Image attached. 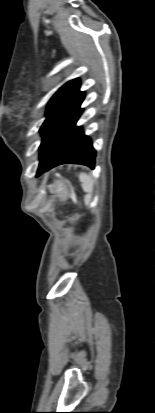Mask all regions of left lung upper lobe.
I'll use <instances>...</instances> for the list:
<instances>
[{
	"label": "left lung upper lobe",
	"mask_w": 155,
	"mask_h": 413,
	"mask_svg": "<svg viewBox=\"0 0 155 413\" xmlns=\"http://www.w3.org/2000/svg\"><path fill=\"white\" fill-rule=\"evenodd\" d=\"M79 88L80 80L73 79L64 84L50 99L46 120L40 129L43 139L39 147V166L60 151V144L55 142L75 127L83 111L80 106L85 96Z\"/></svg>",
	"instance_id": "obj_1"
}]
</instances>
